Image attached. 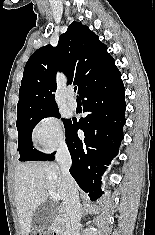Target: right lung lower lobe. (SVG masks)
I'll use <instances>...</instances> for the list:
<instances>
[{
    "mask_svg": "<svg viewBox=\"0 0 155 235\" xmlns=\"http://www.w3.org/2000/svg\"><path fill=\"white\" fill-rule=\"evenodd\" d=\"M87 116L73 119L66 131V144L72 158L70 173L80 188L97 199L105 165L118 154L125 124V88L121 73L115 70L86 86L80 93ZM85 133L81 140L77 130ZM51 154L43 161L54 160Z\"/></svg>",
    "mask_w": 155,
    "mask_h": 235,
    "instance_id": "obj_1",
    "label": "right lung lower lobe"
}]
</instances>
